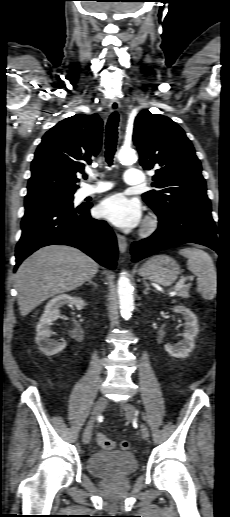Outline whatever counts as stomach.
<instances>
[{
  "label": "stomach",
  "mask_w": 230,
  "mask_h": 517,
  "mask_svg": "<svg viewBox=\"0 0 230 517\" xmlns=\"http://www.w3.org/2000/svg\"><path fill=\"white\" fill-rule=\"evenodd\" d=\"M138 274L160 285L169 286L178 278L180 266L167 255H157L146 261Z\"/></svg>",
  "instance_id": "obj_1"
}]
</instances>
